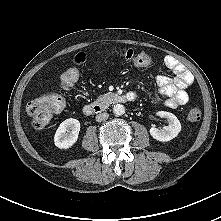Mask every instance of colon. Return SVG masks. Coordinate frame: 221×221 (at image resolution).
Listing matches in <instances>:
<instances>
[{"instance_id": "obj_1", "label": "colon", "mask_w": 221, "mask_h": 221, "mask_svg": "<svg viewBox=\"0 0 221 221\" xmlns=\"http://www.w3.org/2000/svg\"><path fill=\"white\" fill-rule=\"evenodd\" d=\"M107 54L113 58H121L130 61L134 65L140 67L149 66L153 61L149 53L132 48H113L108 50ZM74 61L77 65H81L86 61V55L84 53H79L76 55ZM79 77L80 72L77 67L68 68L60 77L58 90L43 94L29 101L27 110L32 119L34 128H44L49 124L53 116L63 109L64 98L61 91L71 88L78 81ZM187 118L192 122L200 120V108H189Z\"/></svg>"}]
</instances>
